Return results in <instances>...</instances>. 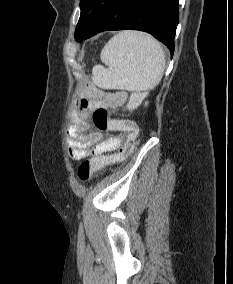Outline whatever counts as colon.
<instances>
[{
    "instance_id": "1",
    "label": "colon",
    "mask_w": 233,
    "mask_h": 284,
    "mask_svg": "<svg viewBox=\"0 0 233 284\" xmlns=\"http://www.w3.org/2000/svg\"><path fill=\"white\" fill-rule=\"evenodd\" d=\"M146 91H134L126 105L127 110H134L144 99ZM94 125L101 131H124L127 133L122 147L113 155H100L84 160L78 168L81 181H89L104 166L126 159L134 150L139 130L136 125H128L123 120L112 119L106 108L98 107L93 112Z\"/></svg>"
}]
</instances>
